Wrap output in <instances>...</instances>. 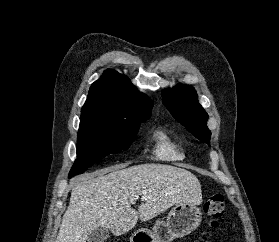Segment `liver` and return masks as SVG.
I'll use <instances>...</instances> for the list:
<instances>
[{
  "label": "liver",
  "instance_id": "1",
  "mask_svg": "<svg viewBox=\"0 0 279 242\" xmlns=\"http://www.w3.org/2000/svg\"><path fill=\"white\" fill-rule=\"evenodd\" d=\"M118 165L74 179L70 204L55 242H86L99 227L122 235L180 202L202 203L201 185L190 171L162 164ZM146 196L138 211L136 196Z\"/></svg>",
  "mask_w": 279,
  "mask_h": 242
}]
</instances>
